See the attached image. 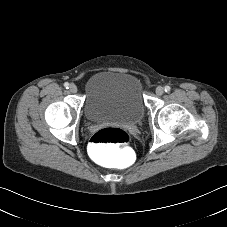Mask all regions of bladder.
<instances>
[{"instance_id":"bladder-1","label":"bladder","mask_w":227,"mask_h":227,"mask_svg":"<svg viewBox=\"0 0 227 227\" xmlns=\"http://www.w3.org/2000/svg\"><path fill=\"white\" fill-rule=\"evenodd\" d=\"M84 95L88 122L137 124L144 117L143 86L133 73L97 72L85 82Z\"/></svg>"}]
</instances>
